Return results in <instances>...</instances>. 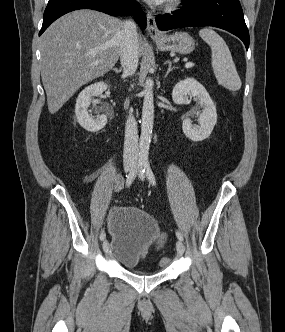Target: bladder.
I'll list each match as a JSON object with an SVG mask.
<instances>
[{
  "label": "bladder",
  "mask_w": 285,
  "mask_h": 332,
  "mask_svg": "<svg viewBox=\"0 0 285 332\" xmlns=\"http://www.w3.org/2000/svg\"><path fill=\"white\" fill-rule=\"evenodd\" d=\"M110 253L121 265L134 269L150 247L163 240L156 220L145 211L126 206L114 210L109 218Z\"/></svg>",
  "instance_id": "bladder-1"
}]
</instances>
